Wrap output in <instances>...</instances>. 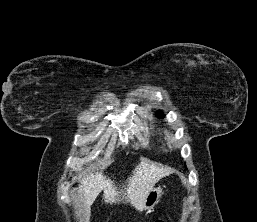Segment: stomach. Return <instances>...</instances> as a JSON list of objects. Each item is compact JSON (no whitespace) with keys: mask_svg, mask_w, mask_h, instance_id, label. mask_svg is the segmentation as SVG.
Masks as SVG:
<instances>
[{"mask_svg":"<svg viewBox=\"0 0 257 222\" xmlns=\"http://www.w3.org/2000/svg\"><path fill=\"white\" fill-rule=\"evenodd\" d=\"M161 194L162 189L160 187L152 188L146 197L144 209L151 211L160 201Z\"/></svg>","mask_w":257,"mask_h":222,"instance_id":"stomach-1","label":"stomach"}]
</instances>
